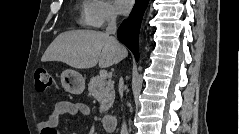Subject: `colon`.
Instances as JSON below:
<instances>
[{"instance_id": "1", "label": "colon", "mask_w": 239, "mask_h": 134, "mask_svg": "<svg viewBox=\"0 0 239 134\" xmlns=\"http://www.w3.org/2000/svg\"><path fill=\"white\" fill-rule=\"evenodd\" d=\"M52 85V78L48 71L44 69H38L35 72V87L39 92L47 91Z\"/></svg>"}]
</instances>
